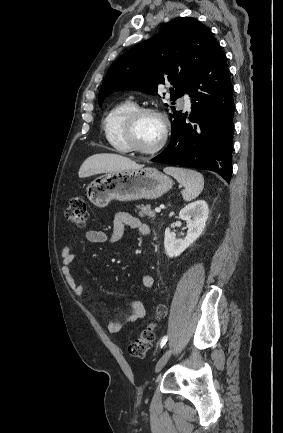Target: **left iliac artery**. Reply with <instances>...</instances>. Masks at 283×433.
<instances>
[{
    "mask_svg": "<svg viewBox=\"0 0 283 433\" xmlns=\"http://www.w3.org/2000/svg\"><path fill=\"white\" fill-rule=\"evenodd\" d=\"M167 340H168V336H164V337L161 339V342H160V347H161V348L165 345V343L167 342Z\"/></svg>",
    "mask_w": 283,
    "mask_h": 433,
    "instance_id": "1",
    "label": "left iliac artery"
}]
</instances>
